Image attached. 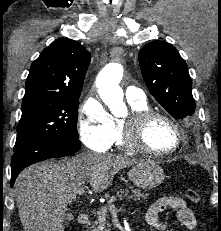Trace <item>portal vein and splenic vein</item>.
<instances>
[{
    "instance_id": "1",
    "label": "portal vein and splenic vein",
    "mask_w": 221,
    "mask_h": 231,
    "mask_svg": "<svg viewBox=\"0 0 221 231\" xmlns=\"http://www.w3.org/2000/svg\"><path fill=\"white\" fill-rule=\"evenodd\" d=\"M84 192H85V189H84V188H80V189L77 191V194H78V195H82V194H84ZM110 209H111V210H114V209H115V206H114V205H111Z\"/></svg>"
}]
</instances>
